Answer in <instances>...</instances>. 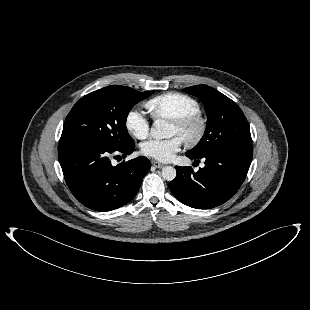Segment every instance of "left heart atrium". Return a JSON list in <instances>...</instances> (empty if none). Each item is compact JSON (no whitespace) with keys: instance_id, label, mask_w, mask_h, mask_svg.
<instances>
[{"instance_id":"left-heart-atrium-1","label":"left heart atrium","mask_w":310,"mask_h":310,"mask_svg":"<svg viewBox=\"0 0 310 310\" xmlns=\"http://www.w3.org/2000/svg\"><path fill=\"white\" fill-rule=\"evenodd\" d=\"M182 139L174 136L168 139H151L141 146V152L162 162H168L180 151Z\"/></svg>"}]
</instances>
